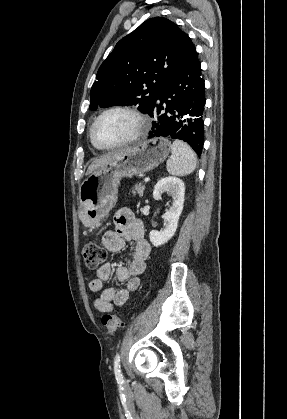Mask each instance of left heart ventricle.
Listing matches in <instances>:
<instances>
[{"mask_svg":"<svg viewBox=\"0 0 287 419\" xmlns=\"http://www.w3.org/2000/svg\"><path fill=\"white\" fill-rule=\"evenodd\" d=\"M136 120L125 112L103 116L95 127L96 139L103 144H116L130 138L137 130Z\"/></svg>","mask_w":287,"mask_h":419,"instance_id":"b2bd125f","label":"left heart ventricle"}]
</instances>
